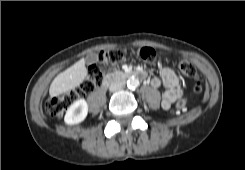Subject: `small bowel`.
Listing matches in <instances>:
<instances>
[{
    "label": "small bowel",
    "instance_id": "obj_1",
    "mask_svg": "<svg viewBox=\"0 0 245 170\" xmlns=\"http://www.w3.org/2000/svg\"><path fill=\"white\" fill-rule=\"evenodd\" d=\"M151 85L155 88L165 87L162 94V107L166 110L170 109L172 104L183 95V88L178 85L175 74L168 67L161 69V78H153Z\"/></svg>",
    "mask_w": 245,
    "mask_h": 170
}]
</instances>
